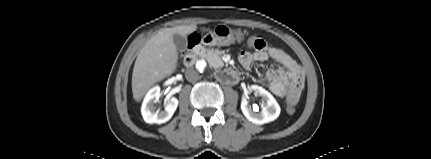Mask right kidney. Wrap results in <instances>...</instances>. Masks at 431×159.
I'll return each mask as SVG.
<instances>
[{"label": "right kidney", "instance_id": "ca27d5eb", "mask_svg": "<svg viewBox=\"0 0 431 159\" xmlns=\"http://www.w3.org/2000/svg\"><path fill=\"white\" fill-rule=\"evenodd\" d=\"M160 98V87L155 86L146 94L141 113L143 119L149 124H162L171 119L178 106V100L175 97L165 99V107L163 111H155V104Z\"/></svg>", "mask_w": 431, "mask_h": 159}]
</instances>
